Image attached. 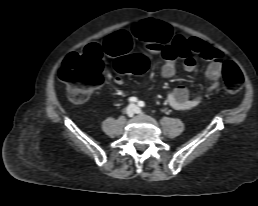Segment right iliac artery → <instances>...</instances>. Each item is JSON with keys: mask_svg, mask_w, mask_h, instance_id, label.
Instances as JSON below:
<instances>
[{"mask_svg": "<svg viewBox=\"0 0 258 206\" xmlns=\"http://www.w3.org/2000/svg\"><path fill=\"white\" fill-rule=\"evenodd\" d=\"M129 102H137V98L136 97H130L128 99Z\"/></svg>", "mask_w": 258, "mask_h": 206, "instance_id": "obj_1", "label": "right iliac artery"}]
</instances>
